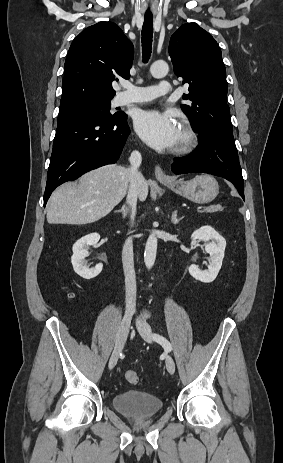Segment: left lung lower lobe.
Instances as JSON below:
<instances>
[{
	"mask_svg": "<svg viewBox=\"0 0 283 463\" xmlns=\"http://www.w3.org/2000/svg\"><path fill=\"white\" fill-rule=\"evenodd\" d=\"M171 169L175 174L203 172L223 177L234 184L244 199V184L235 144L216 136H200L197 151L175 158Z\"/></svg>",
	"mask_w": 283,
	"mask_h": 463,
	"instance_id": "left-lung-lower-lobe-1",
	"label": "left lung lower lobe"
}]
</instances>
